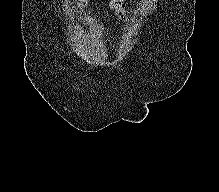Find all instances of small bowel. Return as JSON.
Wrapping results in <instances>:
<instances>
[{
  "label": "small bowel",
  "mask_w": 219,
  "mask_h": 192,
  "mask_svg": "<svg viewBox=\"0 0 219 192\" xmlns=\"http://www.w3.org/2000/svg\"><path fill=\"white\" fill-rule=\"evenodd\" d=\"M126 0H111L110 8L115 12L119 17H122L126 13Z\"/></svg>",
  "instance_id": "1"
}]
</instances>
